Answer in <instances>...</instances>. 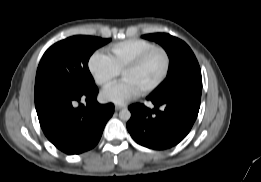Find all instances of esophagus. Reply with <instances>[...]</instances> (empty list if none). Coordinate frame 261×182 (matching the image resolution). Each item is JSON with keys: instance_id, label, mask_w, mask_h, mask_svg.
I'll return each instance as SVG.
<instances>
[{"instance_id": "34e87169", "label": "esophagus", "mask_w": 261, "mask_h": 182, "mask_svg": "<svg viewBox=\"0 0 261 182\" xmlns=\"http://www.w3.org/2000/svg\"><path fill=\"white\" fill-rule=\"evenodd\" d=\"M125 107H126V105H115V110L119 111V110H121V109H123Z\"/></svg>"}]
</instances>
